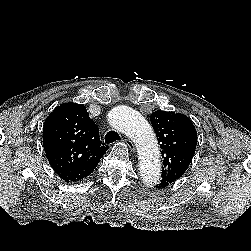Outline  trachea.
Masks as SVG:
<instances>
[{
	"instance_id": "obj_1",
	"label": "trachea",
	"mask_w": 251,
	"mask_h": 251,
	"mask_svg": "<svg viewBox=\"0 0 251 251\" xmlns=\"http://www.w3.org/2000/svg\"><path fill=\"white\" fill-rule=\"evenodd\" d=\"M118 140H120V136L115 131L111 130V131L107 132V134L105 135V142L107 144H111V143L116 142Z\"/></svg>"
}]
</instances>
